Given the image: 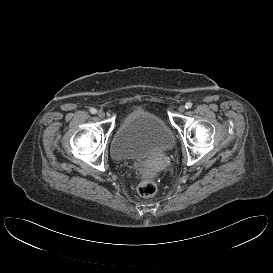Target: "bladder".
Wrapping results in <instances>:
<instances>
[{"label": "bladder", "mask_w": 273, "mask_h": 273, "mask_svg": "<svg viewBox=\"0 0 273 273\" xmlns=\"http://www.w3.org/2000/svg\"><path fill=\"white\" fill-rule=\"evenodd\" d=\"M175 145V137L156 114L134 109L122 120L110 142L114 160H145L156 153L167 152Z\"/></svg>", "instance_id": "1"}]
</instances>
